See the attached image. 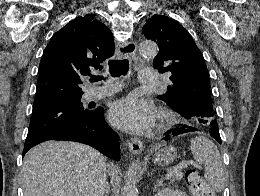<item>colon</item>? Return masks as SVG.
Returning <instances> with one entry per match:
<instances>
[{"instance_id": "colon-1", "label": "colon", "mask_w": 260, "mask_h": 196, "mask_svg": "<svg viewBox=\"0 0 260 196\" xmlns=\"http://www.w3.org/2000/svg\"><path fill=\"white\" fill-rule=\"evenodd\" d=\"M186 176L189 178L187 185L190 192H197L202 186V180L198 179L195 169L189 168L186 171Z\"/></svg>"}]
</instances>
